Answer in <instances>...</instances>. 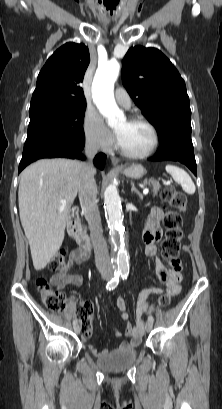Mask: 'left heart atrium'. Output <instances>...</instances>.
<instances>
[{"label": "left heart atrium", "mask_w": 222, "mask_h": 409, "mask_svg": "<svg viewBox=\"0 0 222 409\" xmlns=\"http://www.w3.org/2000/svg\"><path fill=\"white\" fill-rule=\"evenodd\" d=\"M116 138H117V140H118V138H119V135H118V133H116Z\"/></svg>", "instance_id": "obj_1"}]
</instances>
